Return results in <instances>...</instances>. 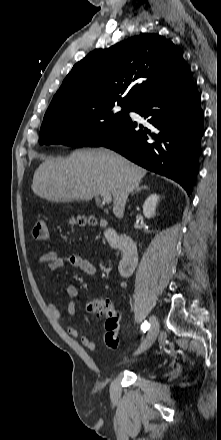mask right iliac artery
<instances>
[{"label":"right iliac artery","mask_w":221,"mask_h":440,"mask_svg":"<svg viewBox=\"0 0 221 440\" xmlns=\"http://www.w3.org/2000/svg\"><path fill=\"white\" fill-rule=\"evenodd\" d=\"M149 328H150V324L147 321H145L141 326L143 332H146Z\"/></svg>","instance_id":"1"}]
</instances>
